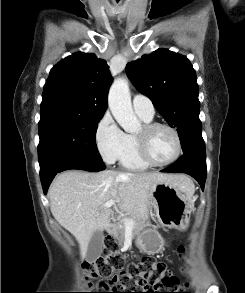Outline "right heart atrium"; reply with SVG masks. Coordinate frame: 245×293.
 I'll return each mask as SVG.
<instances>
[{
  "mask_svg": "<svg viewBox=\"0 0 245 293\" xmlns=\"http://www.w3.org/2000/svg\"><path fill=\"white\" fill-rule=\"evenodd\" d=\"M95 143L103 160L114 163L128 146V135L117 125L111 115L105 114L95 130Z\"/></svg>",
  "mask_w": 245,
  "mask_h": 293,
  "instance_id": "obj_1",
  "label": "right heart atrium"
}]
</instances>
